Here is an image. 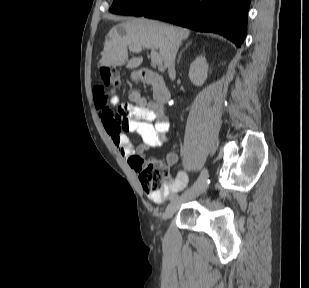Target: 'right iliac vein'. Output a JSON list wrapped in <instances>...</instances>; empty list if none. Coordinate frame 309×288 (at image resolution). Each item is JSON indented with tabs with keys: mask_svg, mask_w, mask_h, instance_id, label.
<instances>
[{
	"mask_svg": "<svg viewBox=\"0 0 309 288\" xmlns=\"http://www.w3.org/2000/svg\"><path fill=\"white\" fill-rule=\"evenodd\" d=\"M207 175H208L207 170L203 169L199 177V181H198L199 184H202L205 182V180L207 179ZM198 194H199L198 191H194L192 194H185L182 196H178L177 198H175V200H171L170 204L166 208L164 218L165 219L171 218L172 215L177 211L180 205L186 201L187 198H189L191 195H198Z\"/></svg>",
	"mask_w": 309,
	"mask_h": 288,
	"instance_id": "1",
	"label": "right iliac vein"
}]
</instances>
